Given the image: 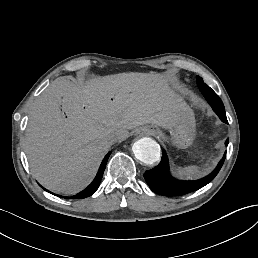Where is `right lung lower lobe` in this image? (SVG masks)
I'll use <instances>...</instances> for the list:
<instances>
[{
    "instance_id": "right-lung-lower-lobe-1",
    "label": "right lung lower lobe",
    "mask_w": 258,
    "mask_h": 258,
    "mask_svg": "<svg viewBox=\"0 0 258 258\" xmlns=\"http://www.w3.org/2000/svg\"><path fill=\"white\" fill-rule=\"evenodd\" d=\"M111 152H109L105 158L103 159L101 165H100V168L98 170V173L95 177V179L93 180V182L86 188L84 189L83 191H81L80 193H78L77 195H74V196H70V197H65V196H61V195H57L61 198H66V199H79V198H86V197H89L91 196L93 193H95V191L98 189L99 185H100V182H101V179H102V176H103V173H104V170H105V167H106V163H107V160L110 156ZM46 190V189H45ZM48 191V190H46ZM49 193H52L50 191H48ZM54 195V193H52ZM56 195V194H55Z\"/></svg>"
}]
</instances>
